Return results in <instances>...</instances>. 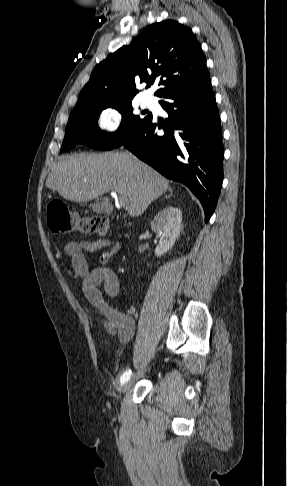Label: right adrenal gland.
Masks as SVG:
<instances>
[{"label": "right adrenal gland", "mask_w": 287, "mask_h": 486, "mask_svg": "<svg viewBox=\"0 0 287 486\" xmlns=\"http://www.w3.org/2000/svg\"><path fill=\"white\" fill-rule=\"evenodd\" d=\"M170 192H171L170 195H172V190L171 189H170ZM170 195H168V196L166 195L164 198H168V197H170Z\"/></svg>", "instance_id": "right-adrenal-gland-1"}]
</instances>
